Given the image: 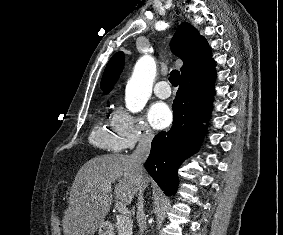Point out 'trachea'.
Wrapping results in <instances>:
<instances>
[{
    "label": "trachea",
    "mask_w": 283,
    "mask_h": 235,
    "mask_svg": "<svg viewBox=\"0 0 283 235\" xmlns=\"http://www.w3.org/2000/svg\"><path fill=\"white\" fill-rule=\"evenodd\" d=\"M180 73L177 70H172L170 73L169 81L173 86H178Z\"/></svg>",
    "instance_id": "1"
}]
</instances>
